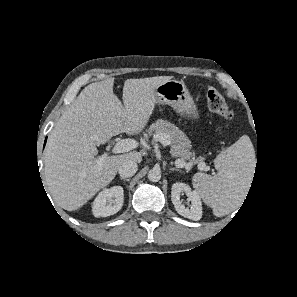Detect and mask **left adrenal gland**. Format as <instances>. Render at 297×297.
I'll return each instance as SVG.
<instances>
[{
	"label": "left adrenal gland",
	"mask_w": 297,
	"mask_h": 297,
	"mask_svg": "<svg viewBox=\"0 0 297 297\" xmlns=\"http://www.w3.org/2000/svg\"><path fill=\"white\" fill-rule=\"evenodd\" d=\"M170 170H172V171H174V170H176V171H180V169L175 168V167L171 168Z\"/></svg>",
	"instance_id": "a2214340"
}]
</instances>
